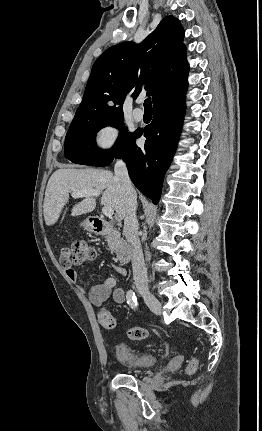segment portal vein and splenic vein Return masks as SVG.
<instances>
[{
  "instance_id": "portal-vein-and-splenic-vein-1",
  "label": "portal vein and splenic vein",
  "mask_w": 262,
  "mask_h": 431,
  "mask_svg": "<svg viewBox=\"0 0 262 431\" xmlns=\"http://www.w3.org/2000/svg\"><path fill=\"white\" fill-rule=\"evenodd\" d=\"M71 195L73 198H82V197H91V196L97 197L100 195V191H98V190H85V191L72 192ZM102 213L105 216L110 217L114 214V210L111 206H104L102 208Z\"/></svg>"
}]
</instances>
